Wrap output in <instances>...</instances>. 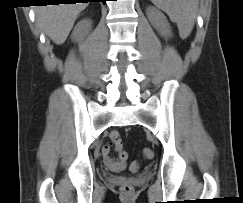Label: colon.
Listing matches in <instances>:
<instances>
[{"instance_id": "1", "label": "colon", "mask_w": 243, "mask_h": 203, "mask_svg": "<svg viewBox=\"0 0 243 203\" xmlns=\"http://www.w3.org/2000/svg\"><path fill=\"white\" fill-rule=\"evenodd\" d=\"M142 156L144 159L146 160H151L153 159L154 157V153L152 150L150 149H144L143 152H142ZM120 158L125 160L127 158V152L126 151H123L121 150L120 151ZM120 190L122 191V193L124 194H131L132 191H133V188L131 185L129 184H123L121 187H120Z\"/></svg>"}]
</instances>
